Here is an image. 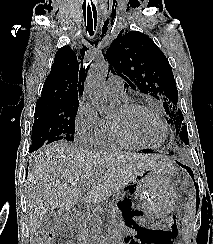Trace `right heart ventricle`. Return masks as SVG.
Listing matches in <instances>:
<instances>
[{"instance_id": "right-heart-ventricle-1", "label": "right heart ventricle", "mask_w": 213, "mask_h": 244, "mask_svg": "<svg viewBox=\"0 0 213 244\" xmlns=\"http://www.w3.org/2000/svg\"><path fill=\"white\" fill-rule=\"evenodd\" d=\"M100 145L111 149V150H123L133 148L132 146L123 142L116 135L112 122L107 121V127L104 133V136L100 142Z\"/></svg>"}]
</instances>
